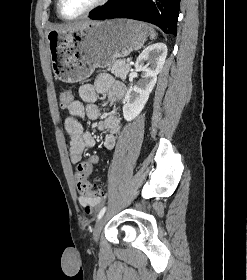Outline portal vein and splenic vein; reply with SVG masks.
Here are the masks:
<instances>
[{"label": "portal vein and splenic vein", "instance_id": "portal-vein-and-splenic-vein-1", "mask_svg": "<svg viewBox=\"0 0 247 280\" xmlns=\"http://www.w3.org/2000/svg\"><path fill=\"white\" fill-rule=\"evenodd\" d=\"M127 61L129 62V61H130V59L128 58V59H127Z\"/></svg>", "mask_w": 247, "mask_h": 280}]
</instances>
